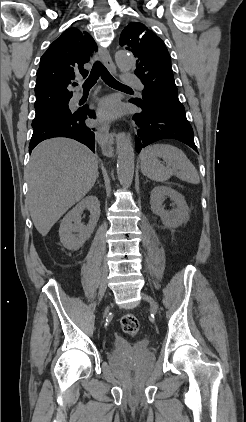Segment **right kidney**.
<instances>
[{
	"instance_id": "obj_1",
	"label": "right kidney",
	"mask_w": 246,
	"mask_h": 422,
	"mask_svg": "<svg viewBox=\"0 0 246 422\" xmlns=\"http://www.w3.org/2000/svg\"><path fill=\"white\" fill-rule=\"evenodd\" d=\"M87 209L90 211V220L87 225L81 223V214ZM100 217V202L96 196L90 195L79 202L62 219L59 236L62 245L76 251L91 237ZM77 233V234H74Z\"/></svg>"
}]
</instances>
